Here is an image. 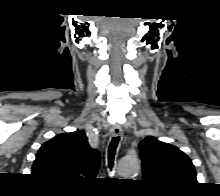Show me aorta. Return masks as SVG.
Masks as SVG:
<instances>
[{"mask_svg": "<svg viewBox=\"0 0 220 196\" xmlns=\"http://www.w3.org/2000/svg\"><path fill=\"white\" fill-rule=\"evenodd\" d=\"M140 169L139 163L136 160L122 159L118 164V173L123 177L135 175Z\"/></svg>", "mask_w": 220, "mask_h": 196, "instance_id": "762f6f07", "label": "aorta"}]
</instances>
